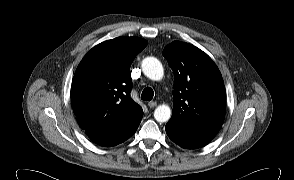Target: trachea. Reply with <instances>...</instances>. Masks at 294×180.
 <instances>
[{
	"instance_id": "obj_1",
	"label": "trachea",
	"mask_w": 294,
	"mask_h": 180,
	"mask_svg": "<svg viewBox=\"0 0 294 180\" xmlns=\"http://www.w3.org/2000/svg\"><path fill=\"white\" fill-rule=\"evenodd\" d=\"M154 96V91L151 87H146L142 94H141V99L144 101H151Z\"/></svg>"
}]
</instances>
